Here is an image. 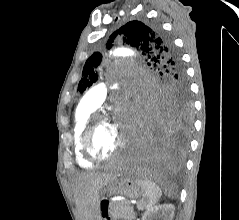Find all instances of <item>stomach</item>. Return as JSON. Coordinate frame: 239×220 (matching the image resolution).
Returning <instances> with one entry per match:
<instances>
[{
	"label": "stomach",
	"mask_w": 239,
	"mask_h": 220,
	"mask_svg": "<svg viewBox=\"0 0 239 220\" xmlns=\"http://www.w3.org/2000/svg\"><path fill=\"white\" fill-rule=\"evenodd\" d=\"M103 193H109L115 196H126L129 198H137L143 192L141 187L133 178H114L103 189ZM107 201L101 199L99 201L98 217H105L107 213Z\"/></svg>",
	"instance_id": "1"
}]
</instances>
